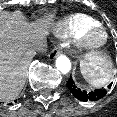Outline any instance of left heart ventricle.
Listing matches in <instances>:
<instances>
[{
    "label": "left heart ventricle",
    "instance_id": "1",
    "mask_svg": "<svg viewBox=\"0 0 117 117\" xmlns=\"http://www.w3.org/2000/svg\"><path fill=\"white\" fill-rule=\"evenodd\" d=\"M101 38H102V34L99 33V32L93 34V36H92V39H93L94 41H98V40H100Z\"/></svg>",
    "mask_w": 117,
    "mask_h": 117
}]
</instances>
